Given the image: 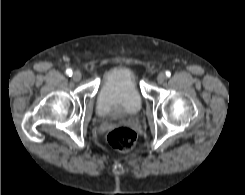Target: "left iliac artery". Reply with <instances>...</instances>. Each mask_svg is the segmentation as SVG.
<instances>
[{"label": "left iliac artery", "instance_id": "1", "mask_svg": "<svg viewBox=\"0 0 245 195\" xmlns=\"http://www.w3.org/2000/svg\"><path fill=\"white\" fill-rule=\"evenodd\" d=\"M165 74H166L167 77H170L171 76V72L170 71H166Z\"/></svg>", "mask_w": 245, "mask_h": 195}]
</instances>
